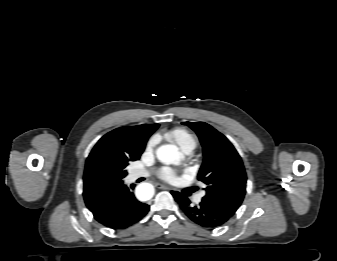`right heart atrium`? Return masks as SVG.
Masks as SVG:
<instances>
[{"mask_svg": "<svg viewBox=\"0 0 337 261\" xmlns=\"http://www.w3.org/2000/svg\"><path fill=\"white\" fill-rule=\"evenodd\" d=\"M155 145V139L152 138L149 142H148V145H147V148L148 149H152Z\"/></svg>", "mask_w": 337, "mask_h": 261, "instance_id": "right-heart-atrium-1", "label": "right heart atrium"}]
</instances>
